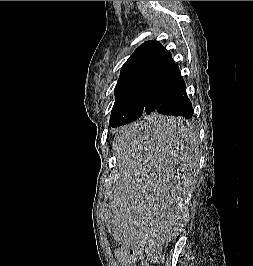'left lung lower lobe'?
<instances>
[{"instance_id":"1","label":"left lung lower lobe","mask_w":253,"mask_h":266,"mask_svg":"<svg viewBox=\"0 0 253 266\" xmlns=\"http://www.w3.org/2000/svg\"><path fill=\"white\" fill-rule=\"evenodd\" d=\"M178 116L170 120H160L156 114ZM150 115L149 117H147ZM143 120L137 126L163 138L176 136L186 130L184 118L193 116L192 103L186 95V88L178 65L171 53L167 52L156 71L146 94Z\"/></svg>"}]
</instances>
